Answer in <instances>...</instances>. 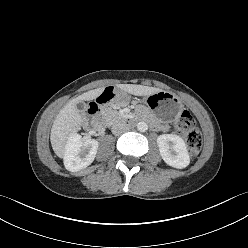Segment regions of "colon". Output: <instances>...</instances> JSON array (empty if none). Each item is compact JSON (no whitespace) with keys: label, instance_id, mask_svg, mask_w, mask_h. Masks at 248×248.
Masks as SVG:
<instances>
[{"label":"colon","instance_id":"1","mask_svg":"<svg viewBox=\"0 0 248 248\" xmlns=\"http://www.w3.org/2000/svg\"><path fill=\"white\" fill-rule=\"evenodd\" d=\"M175 129L183 134L188 147L189 155L196 157L202 147V136L196 127V122L189 111H183L175 121Z\"/></svg>","mask_w":248,"mask_h":248}]
</instances>
